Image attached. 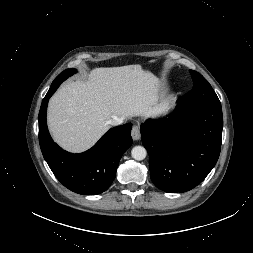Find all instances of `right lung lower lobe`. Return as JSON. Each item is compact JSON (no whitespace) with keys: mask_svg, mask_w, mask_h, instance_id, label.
I'll list each match as a JSON object with an SVG mask.
<instances>
[{"mask_svg":"<svg viewBox=\"0 0 253 253\" xmlns=\"http://www.w3.org/2000/svg\"><path fill=\"white\" fill-rule=\"evenodd\" d=\"M60 85V84H59ZM50 87L39 112V141L44 159L56 178L82 195L100 194L112 184L123 153L132 145V124L110 129L91 149L73 154L53 142L46 124L49 98L59 87Z\"/></svg>","mask_w":253,"mask_h":253,"instance_id":"obj_1","label":"right lung lower lobe"}]
</instances>
